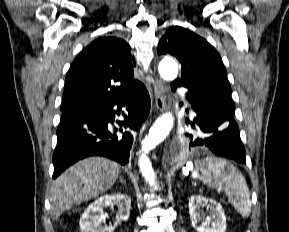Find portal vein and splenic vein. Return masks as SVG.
<instances>
[{
    "label": "portal vein and splenic vein",
    "instance_id": "obj_1",
    "mask_svg": "<svg viewBox=\"0 0 289 232\" xmlns=\"http://www.w3.org/2000/svg\"><path fill=\"white\" fill-rule=\"evenodd\" d=\"M217 191H218V192H220V188H219V189H217Z\"/></svg>",
    "mask_w": 289,
    "mask_h": 232
}]
</instances>
